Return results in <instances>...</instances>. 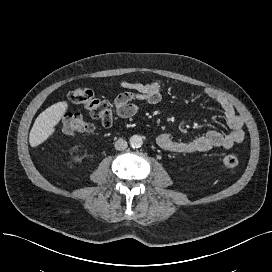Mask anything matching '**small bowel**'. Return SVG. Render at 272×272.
<instances>
[{
  "instance_id": "c3829d8e",
  "label": "small bowel",
  "mask_w": 272,
  "mask_h": 272,
  "mask_svg": "<svg viewBox=\"0 0 272 272\" xmlns=\"http://www.w3.org/2000/svg\"><path fill=\"white\" fill-rule=\"evenodd\" d=\"M165 83V79H156L144 84L122 81L121 87L132 91L123 92L115 98L117 115L128 119L139 112L141 103L158 104L162 99ZM205 95L219 105L230 131L222 133L211 130L190 141H178L170 133H162L158 136L157 142L163 150L181 154L208 151L216 147L230 149L244 140V119L236 112L233 105L217 90L206 89Z\"/></svg>"
}]
</instances>
